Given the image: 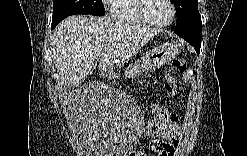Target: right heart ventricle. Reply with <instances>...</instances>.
I'll return each instance as SVG.
<instances>
[{
  "mask_svg": "<svg viewBox=\"0 0 247 156\" xmlns=\"http://www.w3.org/2000/svg\"><path fill=\"white\" fill-rule=\"evenodd\" d=\"M136 2V0L114 1L111 6L113 17L125 23L143 24L136 11Z\"/></svg>",
  "mask_w": 247,
  "mask_h": 156,
  "instance_id": "obj_1",
  "label": "right heart ventricle"
}]
</instances>
